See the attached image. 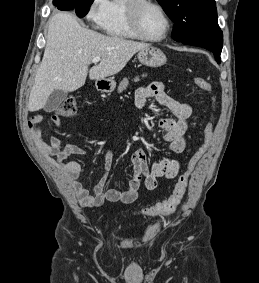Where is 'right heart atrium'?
Returning <instances> with one entry per match:
<instances>
[{
	"instance_id": "1",
	"label": "right heart atrium",
	"mask_w": 259,
	"mask_h": 283,
	"mask_svg": "<svg viewBox=\"0 0 259 283\" xmlns=\"http://www.w3.org/2000/svg\"><path fill=\"white\" fill-rule=\"evenodd\" d=\"M109 0H91L86 18L95 28H100L106 16Z\"/></svg>"
}]
</instances>
